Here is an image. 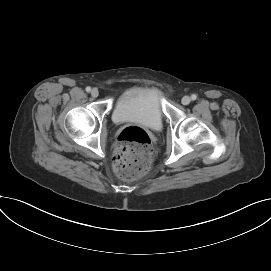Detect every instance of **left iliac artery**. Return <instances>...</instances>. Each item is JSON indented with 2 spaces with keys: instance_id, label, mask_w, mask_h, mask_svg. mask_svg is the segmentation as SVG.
I'll return each instance as SVG.
<instances>
[{
  "instance_id": "left-iliac-artery-1",
  "label": "left iliac artery",
  "mask_w": 271,
  "mask_h": 271,
  "mask_svg": "<svg viewBox=\"0 0 271 271\" xmlns=\"http://www.w3.org/2000/svg\"><path fill=\"white\" fill-rule=\"evenodd\" d=\"M197 96L195 94L191 95L192 100H196Z\"/></svg>"
}]
</instances>
